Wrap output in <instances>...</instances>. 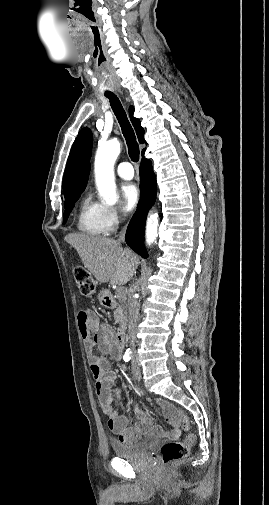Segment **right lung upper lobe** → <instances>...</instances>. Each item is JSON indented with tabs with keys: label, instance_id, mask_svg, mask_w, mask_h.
Wrapping results in <instances>:
<instances>
[{
	"label": "right lung upper lobe",
	"instance_id": "obj_1",
	"mask_svg": "<svg viewBox=\"0 0 269 505\" xmlns=\"http://www.w3.org/2000/svg\"><path fill=\"white\" fill-rule=\"evenodd\" d=\"M134 108L130 106L129 114L131 122L136 130L140 143H146L144 140V129L140 120L133 117ZM92 147V134L88 128L82 129L74 141L63 177V190L65 200L73 195L84 191L90 171V156ZM145 149L142 150V154Z\"/></svg>",
	"mask_w": 269,
	"mask_h": 505
}]
</instances>
